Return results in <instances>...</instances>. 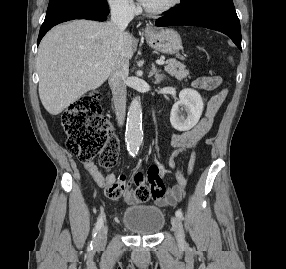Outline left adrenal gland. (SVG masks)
Wrapping results in <instances>:
<instances>
[{
	"label": "left adrenal gland",
	"instance_id": "left-adrenal-gland-1",
	"mask_svg": "<svg viewBox=\"0 0 286 269\" xmlns=\"http://www.w3.org/2000/svg\"><path fill=\"white\" fill-rule=\"evenodd\" d=\"M149 76H150V77H153V76H154V78H155L154 83H155V84H158V83H160L161 81H163V80L165 79V75H163V74L161 73V71L158 70V69L155 67V64H154V63L152 64V67H151V71H150V73H149Z\"/></svg>",
	"mask_w": 286,
	"mask_h": 269
}]
</instances>
